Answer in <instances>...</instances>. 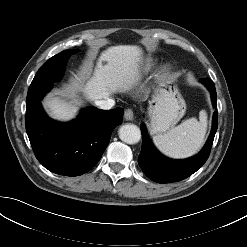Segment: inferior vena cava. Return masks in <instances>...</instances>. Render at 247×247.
Wrapping results in <instances>:
<instances>
[{
	"label": "inferior vena cava",
	"mask_w": 247,
	"mask_h": 247,
	"mask_svg": "<svg viewBox=\"0 0 247 247\" xmlns=\"http://www.w3.org/2000/svg\"><path fill=\"white\" fill-rule=\"evenodd\" d=\"M95 104L101 109L108 110L114 106L115 101L113 99L98 100Z\"/></svg>",
	"instance_id": "602c4592"
}]
</instances>
